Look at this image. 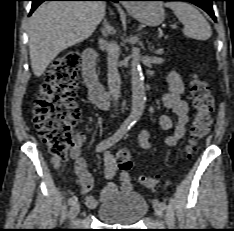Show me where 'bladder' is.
<instances>
[{
	"mask_svg": "<svg viewBox=\"0 0 234 231\" xmlns=\"http://www.w3.org/2000/svg\"><path fill=\"white\" fill-rule=\"evenodd\" d=\"M148 211L146 199L139 193L128 191L113 195L97 211L100 221L116 225H132Z\"/></svg>",
	"mask_w": 234,
	"mask_h": 231,
	"instance_id": "31cf9c89",
	"label": "bladder"
}]
</instances>
